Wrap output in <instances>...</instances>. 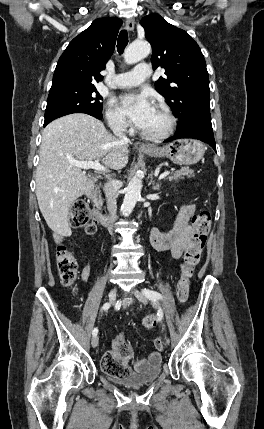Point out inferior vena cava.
I'll return each instance as SVG.
<instances>
[{
    "mask_svg": "<svg viewBox=\"0 0 264 429\" xmlns=\"http://www.w3.org/2000/svg\"><path fill=\"white\" fill-rule=\"evenodd\" d=\"M124 129L121 125V122L118 121L113 126V132L114 134L119 138V141L122 143H128L129 139L124 135L123 133ZM104 192L107 200V209L111 215V217L108 219L110 221L109 228H111L109 231L113 233L117 227H118V221L120 220L119 214L116 213L117 206H116V188L114 186V181H109L104 186ZM116 222V223H115Z\"/></svg>",
    "mask_w": 264,
    "mask_h": 429,
    "instance_id": "inferior-vena-cava-1",
    "label": "inferior vena cava"
}]
</instances>
